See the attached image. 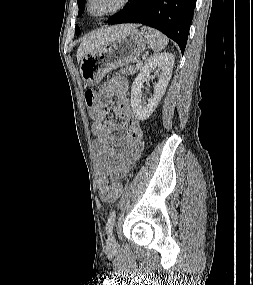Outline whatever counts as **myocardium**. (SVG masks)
Returning <instances> with one entry per match:
<instances>
[{"mask_svg": "<svg viewBox=\"0 0 253 285\" xmlns=\"http://www.w3.org/2000/svg\"><path fill=\"white\" fill-rule=\"evenodd\" d=\"M93 0H86L85 2V11L86 13L93 19H102L104 17L112 16L116 13H119L120 11L124 10L130 3V0H120L119 4L114 7L113 9H110L108 11L95 14L91 11V4Z\"/></svg>", "mask_w": 253, "mask_h": 285, "instance_id": "obj_1", "label": "myocardium"}]
</instances>
